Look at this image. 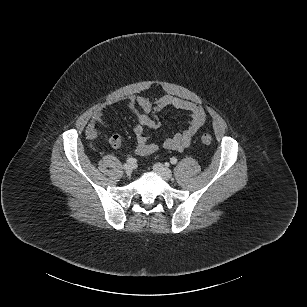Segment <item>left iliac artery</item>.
Listing matches in <instances>:
<instances>
[{
    "mask_svg": "<svg viewBox=\"0 0 307 307\" xmlns=\"http://www.w3.org/2000/svg\"><path fill=\"white\" fill-rule=\"evenodd\" d=\"M177 161H178V160H177L175 157H172V158L170 159V163H171V164H176Z\"/></svg>",
    "mask_w": 307,
    "mask_h": 307,
    "instance_id": "44dca946",
    "label": "left iliac artery"
}]
</instances>
